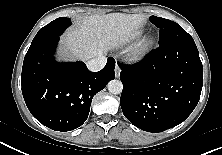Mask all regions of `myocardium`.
I'll return each instance as SVG.
<instances>
[{
    "label": "myocardium",
    "mask_w": 222,
    "mask_h": 155,
    "mask_svg": "<svg viewBox=\"0 0 222 155\" xmlns=\"http://www.w3.org/2000/svg\"><path fill=\"white\" fill-rule=\"evenodd\" d=\"M154 38L147 37L143 39L132 51L131 57L135 61L142 60L147 56L154 45Z\"/></svg>",
    "instance_id": "obj_1"
}]
</instances>
